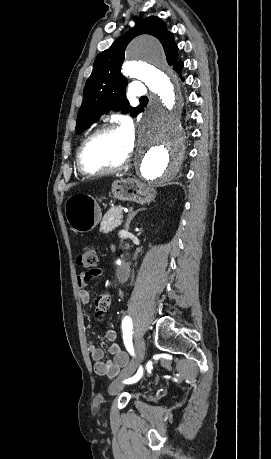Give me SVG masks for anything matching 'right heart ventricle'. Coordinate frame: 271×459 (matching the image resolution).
Masks as SVG:
<instances>
[{
    "mask_svg": "<svg viewBox=\"0 0 271 459\" xmlns=\"http://www.w3.org/2000/svg\"><path fill=\"white\" fill-rule=\"evenodd\" d=\"M76 167H77V170H78V172H79V174H80L81 176H83V177H88V175L84 174V173L79 169V167H78V165H77V162H76Z\"/></svg>",
    "mask_w": 271,
    "mask_h": 459,
    "instance_id": "e07e8e85",
    "label": "right heart ventricle"
}]
</instances>
